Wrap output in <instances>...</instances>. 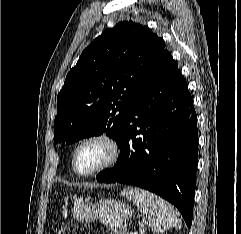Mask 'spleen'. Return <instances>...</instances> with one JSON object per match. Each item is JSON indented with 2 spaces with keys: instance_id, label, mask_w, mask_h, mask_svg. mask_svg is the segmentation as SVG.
<instances>
[{
  "instance_id": "spleen-1",
  "label": "spleen",
  "mask_w": 241,
  "mask_h": 234,
  "mask_svg": "<svg viewBox=\"0 0 241 234\" xmlns=\"http://www.w3.org/2000/svg\"><path fill=\"white\" fill-rule=\"evenodd\" d=\"M121 194L146 216L154 233H163L170 228L181 229L179 214L161 197L138 187H127Z\"/></svg>"
}]
</instances>
